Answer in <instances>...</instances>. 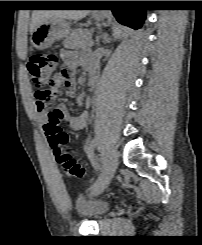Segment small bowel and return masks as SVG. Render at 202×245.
<instances>
[{"label":"small bowel","instance_id":"small-bowel-1","mask_svg":"<svg viewBox=\"0 0 202 245\" xmlns=\"http://www.w3.org/2000/svg\"><path fill=\"white\" fill-rule=\"evenodd\" d=\"M61 59L65 65L66 70L69 73L70 79L63 82V87L66 91V95L69 98H73L76 95V86L74 83V76L79 65H82L86 70L88 67L96 69V64L93 58L89 56H83L79 52L64 50L61 53ZM34 111L36 117L41 122H46L48 119L49 112L42 111V104L36 103L34 106ZM60 119L68 124L74 130L83 129L88 121L89 114L87 111L82 112L77 116H72L69 112V109L65 105H60L57 109L54 110Z\"/></svg>","mask_w":202,"mask_h":245}]
</instances>
